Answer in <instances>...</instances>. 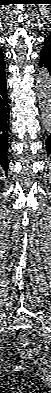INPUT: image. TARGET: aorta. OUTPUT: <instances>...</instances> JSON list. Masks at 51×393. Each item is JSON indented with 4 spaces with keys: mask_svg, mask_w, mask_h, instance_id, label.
I'll list each match as a JSON object with an SVG mask.
<instances>
[{
    "mask_svg": "<svg viewBox=\"0 0 51 393\" xmlns=\"http://www.w3.org/2000/svg\"><path fill=\"white\" fill-rule=\"evenodd\" d=\"M36 92L42 123L44 128L49 132L51 130V77L44 68H41L37 76Z\"/></svg>",
    "mask_w": 51,
    "mask_h": 393,
    "instance_id": "aorta-1",
    "label": "aorta"
}]
</instances>
